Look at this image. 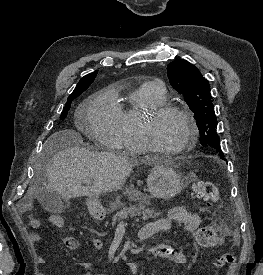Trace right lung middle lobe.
Here are the masks:
<instances>
[{"instance_id":"obj_1","label":"right lung middle lobe","mask_w":263,"mask_h":275,"mask_svg":"<svg viewBox=\"0 0 263 275\" xmlns=\"http://www.w3.org/2000/svg\"><path fill=\"white\" fill-rule=\"evenodd\" d=\"M86 89H87V88H84V89L80 90L79 92H77L76 94H74V95H72V96H70V97L68 98V101H67V103H66V105H65V107H64V109H63V111H62L61 118L64 119V118L67 116L68 110L70 109V105H71L72 99L78 97V96H79L80 94H82Z\"/></svg>"}]
</instances>
